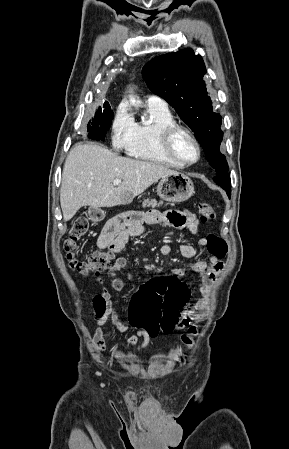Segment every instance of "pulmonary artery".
I'll list each match as a JSON object with an SVG mask.
<instances>
[{
	"mask_svg": "<svg viewBox=\"0 0 289 449\" xmlns=\"http://www.w3.org/2000/svg\"><path fill=\"white\" fill-rule=\"evenodd\" d=\"M146 103L149 106L165 108L167 107V103L161 97L155 95H149L146 99Z\"/></svg>",
	"mask_w": 289,
	"mask_h": 449,
	"instance_id": "e3ab8cb5",
	"label": "pulmonary artery"
}]
</instances>
